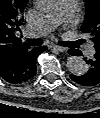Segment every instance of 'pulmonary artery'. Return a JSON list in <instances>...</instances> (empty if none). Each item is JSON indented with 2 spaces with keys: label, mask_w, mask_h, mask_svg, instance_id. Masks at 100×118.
<instances>
[{
  "label": "pulmonary artery",
  "mask_w": 100,
  "mask_h": 118,
  "mask_svg": "<svg viewBox=\"0 0 100 118\" xmlns=\"http://www.w3.org/2000/svg\"><path fill=\"white\" fill-rule=\"evenodd\" d=\"M76 8L77 0H60L58 8L53 13L44 16L35 24L28 26V36L39 37L47 34L62 22H70L73 19ZM87 52L89 55L93 54L94 48L91 44L88 45Z\"/></svg>",
  "instance_id": "obj_1"
}]
</instances>
